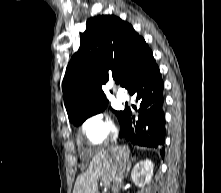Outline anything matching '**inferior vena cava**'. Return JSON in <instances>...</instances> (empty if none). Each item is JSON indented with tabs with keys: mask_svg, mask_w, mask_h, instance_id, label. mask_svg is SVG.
<instances>
[{
	"mask_svg": "<svg viewBox=\"0 0 221 193\" xmlns=\"http://www.w3.org/2000/svg\"><path fill=\"white\" fill-rule=\"evenodd\" d=\"M114 142L116 143V138H114ZM113 148H117V146H114ZM125 170H126V161L118 159L113 177V185H112L113 193H118V191L120 190L123 183Z\"/></svg>",
	"mask_w": 221,
	"mask_h": 193,
	"instance_id": "602c4592",
	"label": "inferior vena cava"
}]
</instances>
